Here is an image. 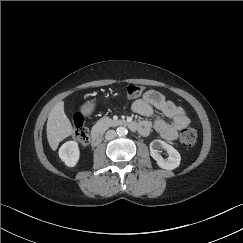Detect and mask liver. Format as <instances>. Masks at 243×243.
Here are the masks:
<instances>
[{"label":"liver","instance_id":"6515ba94","mask_svg":"<svg viewBox=\"0 0 243 243\" xmlns=\"http://www.w3.org/2000/svg\"><path fill=\"white\" fill-rule=\"evenodd\" d=\"M73 132L72 124L64 112V102L59 101L50 111L47 120V139L53 151Z\"/></svg>","mask_w":243,"mask_h":243}]
</instances>
